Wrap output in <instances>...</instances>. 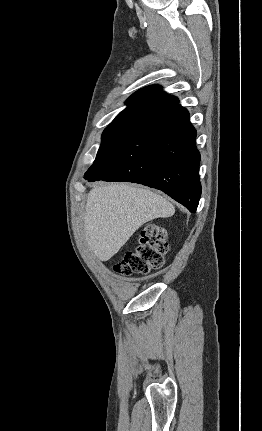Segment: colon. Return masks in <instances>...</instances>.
<instances>
[{
    "mask_svg": "<svg viewBox=\"0 0 262 431\" xmlns=\"http://www.w3.org/2000/svg\"><path fill=\"white\" fill-rule=\"evenodd\" d=\"M167 249L164 229L156 223L147 224L136 237L135 247L123 254L114 269L126 277L144 276L163 266Z\"/></svg>",
    "mask_w": 262,
    "mask_h": 431,
    "instance_id": "obj_1",
    "label": "colon"
}]
</instances>
